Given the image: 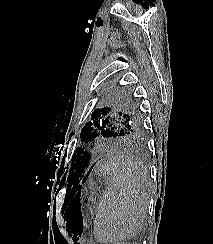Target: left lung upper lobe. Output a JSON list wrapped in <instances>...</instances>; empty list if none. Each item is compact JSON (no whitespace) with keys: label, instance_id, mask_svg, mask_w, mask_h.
Instances as JSON below:
<instances>
[{"label":"left lung upper lobe","instance_id":"left-lung-upper-lobe-1","mask_svg":"<svg viewBox=\"0 0 213 244\" xmlns=\"http://www.w3.org/2000/svg\"><path fill=\"white\" fill-rule=\"evenodd\" d=\"M141 134V117L137 102L127 89L116 90L105 104L93 111L91 121L83 127L80 137L91 142L99 136L124 137ZM90 154L83 148L76 149L68 175V190H77L90 162Z\"/></svg>","mask_w":213,"mask_h":244}]
</instances>
